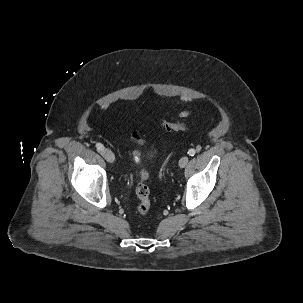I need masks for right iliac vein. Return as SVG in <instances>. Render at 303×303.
I'll return each mask as SVG.
<instances>
[{"mask_svg":"<svg viewBox=\"0 0 303 303\" xmlns=\"http://www.w3.org/2000/svg\"><path fill=\"white\" fill-rule=\"evenodd\" d=\"M102 156L109 162V163H113L115 160V156L113 154V152L109 149H104L102 151Z\"/></svg>","mask_w":303,"mask_h":303,"instance_id":"obj_1","label":"right iliac vein"}]
</instances>
